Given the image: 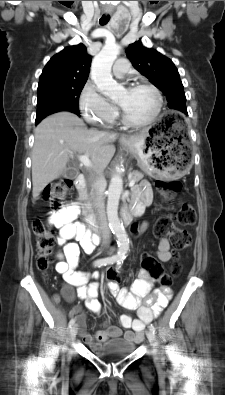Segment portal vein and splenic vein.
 I'll list each match as a JSON object with an SVG mask.
<instances>
[{
  "mask_svg": "<svg viewBox=\"0 0 225 395\" xmlns=\"http://www.w3.org/2000/svg\"><path fill=\"white\" fill-rule=\"evenodd\" d=\"M79 161L86 167H91V161L89 160L88 155L84 154V155H80L78 156ZM135 184L134 180H130L129 181V187H132Z\"/></svg>",
  "mask_w": 225,
  "mask_h": 395,
  "instance_id": "obj_1",
  "label": "portal vein and splenic vein"
}]
</instances>
